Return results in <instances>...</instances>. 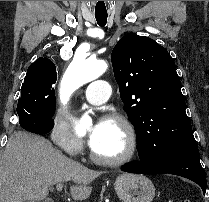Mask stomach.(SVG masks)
I'll use <instances>...</instances> for the list:
<instances>
[{
    "mask_svg": "<svg viewBox=\"0 0 209 202\" xmlns=\"http://www.w3.org/2000/svg\"><path fill=\"white\" fill-rule=\"evenodd\" d=\"M116 194L122 202H152L155 187L144 175L124 173L114 183Z\"/></svg>",
    "mask_w": 209,
    "mask_h": 202,
    "instance_id": "1",
    "label": "stomach"
}]
</instances>
